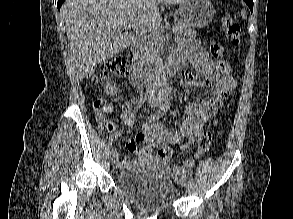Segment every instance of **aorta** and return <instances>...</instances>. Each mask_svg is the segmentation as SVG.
Returning <instances> with one entry per match:
<instances>
[{"mask_svg": "<svg viewBox=\"0 0 293 219\" xmlns=\"http://www.w3.org/2000/svg\"><path fill=\"white\" fill-rule=\"evenodd\" d=\"M154 71L162 93L168 92L170 89V85L168 83L166 72L164 70V65L161 58L155 62Z\"/></svg>", "mask_w": 293, "mask_h": 219, "instance_id": "1", "label": "aorta"}]
</instances>
